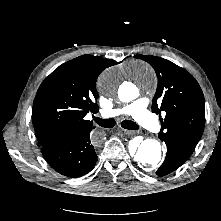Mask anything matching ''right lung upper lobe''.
<instances>
[{
    "label": "right lung upper lobe",
    "mask_w": 221,
    "mask_h": 221,
    "mask_svg": "<svg viewBox=\"0 0 221 221\" xmlns=\"http://www.w3.org/2000/svg\"><path fill=\"white\" fill-rule=\"evenodd\" d=\"M117 63L86 54L60 65L43 81L32 110L41 146L94 128L85 116L98 112L97 78L105 68Z\"/></svg>",
    "instance_id": "right-lung-upper-lobe-1"
}]
</instances>
